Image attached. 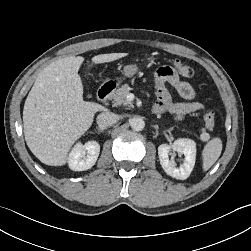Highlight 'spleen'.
Returning a JSON list of instances; mask_svg holds the SVG:
<instances>
[{
	"label": "spleen",
	"mask_w": 251,
	"mask_h": 251,
	"mask_svg": "<svg viewBox=\"0 0 251 251\" xmlns=\"http://www.w3.org/2000/svg\"><path fill=\"white\" fill-rule=\"evenodd\" d=\"M222 151V141L216 137L210 140L202 152L203 170L207 171L220 157Z\"/></svg>",
	"instance_id": "spleen-1"
}]
</instances>
